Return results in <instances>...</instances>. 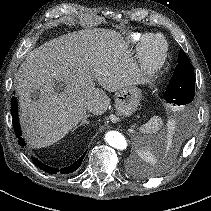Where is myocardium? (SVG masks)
<instances>
[{
    "instance_id": "myocardium-1",
    "label": "myocardium",
    "mask_w": 211,
    "mask_h": 211,
    "mask_svg": "<svg viewBox=\"0 0 211 211\" xmlns=\"http://www.w3.org/2000/svg\"><path fill=\"white\" fill-rule=\"evenodd\" d=\"M156 38L161 41V50L158 56L152 57L147 52L149 40ZM169 44L167 39L157 33L146 35L138 45L139 75L142 81L151 80L163 67L168 57Z\"/></svg>"
}]
</instances>
